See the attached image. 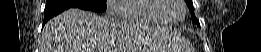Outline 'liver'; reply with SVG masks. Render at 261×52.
Instances as JSON below:
<instances>
[{
	"mask_svg": "<svg viewBox=\"0 0 261 52\" xmlns=\"http://www.w3.org/2000/svg\"><path fill=\"white\" fill-rule=\"evenodd\" d=\"M166 32H155L152 41L137 24L70 8L45 24L39 52H126L141 50L142 45L155 50L164 46Z\"/></svg>",
	"mask_w": 261,
	"mask_h": 52,
	"instance_id": "liver-1",
	"label": "liver"
}]
</instances>
